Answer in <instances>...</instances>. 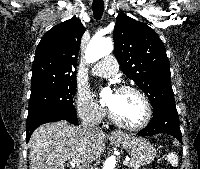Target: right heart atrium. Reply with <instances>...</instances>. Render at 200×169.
Segmentation results:
<instances>
[{
  "mask_svg": "<svg viewBox=\"0 0 200 169\" xmlns=\"http://www.w3.org/2000/svg\"><path fill=\"white\" fill-rule=\"evenodd\" d=\"M75 106L78 116L86 122L98 124L106 117V110L87 93H77Z\"/></svg>",
  "mask_w": 200,
  "mask_h": 169,
  "instance_id": "d8ad5b80",
  "label": "right heart atrium"
}]
</instances>
